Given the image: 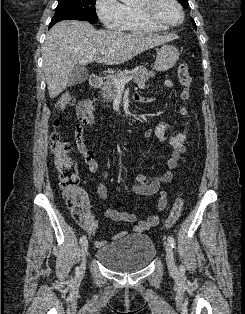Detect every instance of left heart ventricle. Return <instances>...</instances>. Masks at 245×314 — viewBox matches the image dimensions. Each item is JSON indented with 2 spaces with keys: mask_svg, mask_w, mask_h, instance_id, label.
<instances>
[{
  "mask_svg": "<svg viewBox=\"0 0 245 314\" xmlns=\"http://www.w3.org/2000/svg\"><path fill=\"white\" fill-rule=\"evenodd\" d=\"M156 14L159 18L169 23H178L181 21V13L172 0H159Z\"/></svg>",
  "mask_w": 245,
  "mask_h": 314,
  "instance_id": "b2bd125f",
  "label": "left heart ventricle"
}]
</instances>
